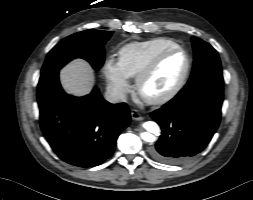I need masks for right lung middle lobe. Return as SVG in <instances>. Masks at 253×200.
<instances>
[{
  "label": "right lung middle lobe",
  "mask_w": 253,
  "mask_h": 200,
  "mask_svg": "<svg viewBox=\"0 0 253 200\" xmlns=\"http://www.w3.org/2000/svg\"><path fill=\"white\" fill-rule=\"evenodd\" d=\"M112 32L86 30L68 36L59 42L47 55L41 75L59 71L74 58L87 60L95 70L104 63V44Z\"/></svg>",
  "instance_id": "obj_1"
}]
</instances>
